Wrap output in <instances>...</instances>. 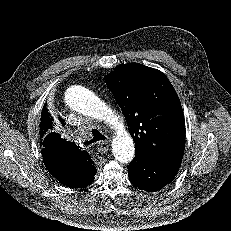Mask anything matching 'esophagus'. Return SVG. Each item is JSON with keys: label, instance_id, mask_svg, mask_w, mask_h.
Wrapping results in <instances>:
<instances>
[{"label": "esophagus", "instance_id": "obj_1", "mask_svg": "<svg viewBox=\"0 0 231 231\" xmlns=\"http://www.w3.org/2000/svg\"><path fill=\"white\" fill-rule=\"evenodd\" d=\"M110 149V142L109 141H101L97 145V150L99 153H106Z\"/></svg>", "mask_w": 231, "mask_h": 231}]
</instances>
